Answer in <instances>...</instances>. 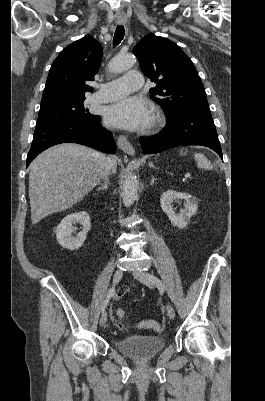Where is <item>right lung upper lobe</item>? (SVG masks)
Returning a JSON list of instances; mask_svg holds the SVG:
<instances>
[{
  "mask_svg": "<svg viewBox=\"0 0 265 401\" xmlns=\"http://www.w3.org/2000/svg\"><path fill=\"white\" fill-rule=\"evenodd\" d=\"M101 59L102 47L90 35L65 47L49 70L41 104L61 99L85 98V92L93 91L85 82L94 80Z\"/></svg>",
  "mask_w": 265,
  "mask_h": 401,
  "instance_id": "cb5924a9",
  "label": "right lung upper lobe"
}]
</instances>
